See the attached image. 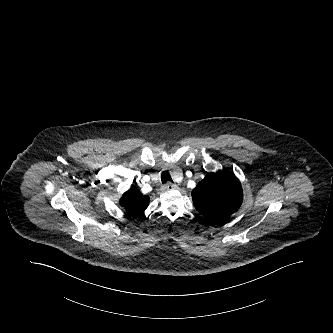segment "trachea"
<instances>
[{
  "label": "trachea",
  "instance_id": "trachea-1",
  "mask_svg": "<svg viewBox=\"0 0 333 333\" xmlns=\"http://www.w3.org/2000/svg\"><path fill=\"white\" fill-rule=\"evenodd\" d=\"M161 181L162 183H166V182H173L172 180V177L170 175V173L168 171H164L162 174H161Z\"/></svg>",
  "mask_w": 333,
  "mask_h": 333
}]
</instances>
